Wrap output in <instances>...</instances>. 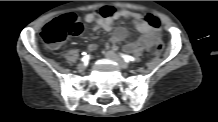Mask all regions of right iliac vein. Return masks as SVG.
I'll return each instance as SVG.
<instances>
[{"label":"right iliac vein","instance_id":"obj_1","mask_svg":"<svg viewBox=\"0 0 218 122\" xmlns=\"http://www.w3.org/2000/svg\"><path fill=\"white\" fill-rule=\"evenodd\" d=\"M77 69H78L79 71H83V70L85 69V64H84V63H79V64L77 65Z\"/></svg>","mask_w":218,"mask_h":122}]
</instances>
